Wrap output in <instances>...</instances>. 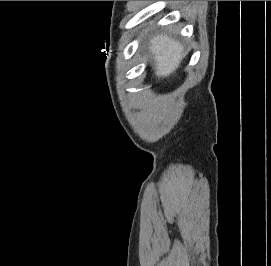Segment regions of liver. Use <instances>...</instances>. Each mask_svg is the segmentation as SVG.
Instances as JSON below:
<instances>
[{
	"instance_id": "6515ba94",
	"label": "liver",
	"mask_w": 271,
	"mask_h": 266,
	"mask_svg": "<svg viewBox=\"0 0 271 266\" xmlns=\"http://www.w3.org/2000/svg\"><path fill=\"white\" fill-rule=\"evenodd\" d=\"M149 50L154 60L155 75L165 78L179 67L184 47L175 39L159 35L151 38Z\"/></svg>"
}]
</instances>
